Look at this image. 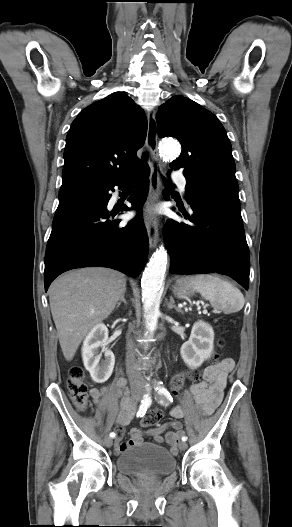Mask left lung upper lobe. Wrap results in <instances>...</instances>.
<instances>
[{
	"label": "left lung upper lobe",
	"mask_w": 292,
	"mask_h": 527,
	"mask_svg": "<svg viewBox=\"0 0 292 527\" xmlns=\"http://www.w3.org/2000/svg\"><path fill=\"white\" fill-rule=\"evenodd\" d=\"M156 119L159 137L172 136L181 143L182 154L170 166L184 169L187 198L239 200L231 143L213 113L189 98L174 96L159 107Z\"/></svg>",
	"instance_id": "left-lung-upper-lobe-1"
}]
</instances>
